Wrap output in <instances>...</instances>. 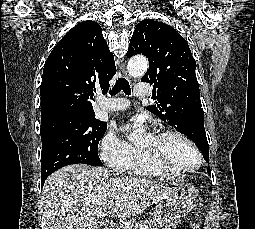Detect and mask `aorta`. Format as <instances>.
Wrapping results in <instances>:
<instances>
[{
  "instance_id": "obj_1",
  "label": "aorta",
  "mask_w": 255,
  "mask_h": 229,
  "mask_svg": "<svg viewBox=\"0 0 255 229\" xmlns=\"http://www.w3.org/2000/svg\"><path fill=\"white\" fill-rule=\"evenodd\" d=\"M127 70L130 76L140 77L143 76L148 70V60L143 56L133 57L127 64ZM142 136V130L136 129L133 131L129 139L131 141H137Z\"/></svg>"
}]
</instances>
